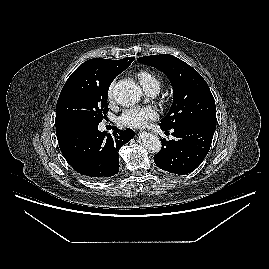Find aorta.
<instances>
[{
  "label": "aorta",
  "instance_id": "aorta-1",
  "mask_svg": "<svg viewBox=\"0 0 269 269\" xmlns=\"http://www.w3.org/2000/svg\"><path fill=\"white\" fill-rule=\"evenodd\" d=\"M141 95V88L131 80H121L112 88L113 98L124 107L136 104ZM138 142L151 153H158L162 148L160 138L148 132L141 133Z\"/></svg>",
  "mask_w": 269,
  "mask_h": 269
}]
</instances>
